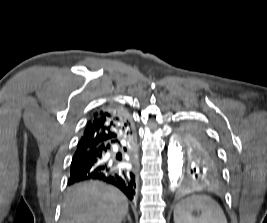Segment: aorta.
I'll return each mask as SVG.
<instances>
[{
	"label": "aorta",
	"instance_id": "762f6f07",
	"mask_svg": "<svg viewBox=\"0 0 267 223\" xmlns=\"http://www.w3.org/2000/svg\"><path fill=\"white\" fill-rule=\"evenodd\" d=\"M184 169V155L178 137H172L168 145V175L172 188L181 181Z\"/></svg>",
	"mask_w": 267,
	"mask_h": 223
}]
</instances>
